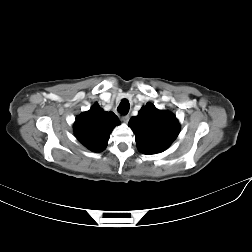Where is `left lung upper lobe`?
Returning a JSON list of instances; mask_svg holds the SVG:
<instances>
[{
	"label": "left lung upper lobe",
	"mask_w": 252,
	"mask_h": 252,
	"mask_svg": "<svg viewBox=\"0 0 252 252\" xmlns=\"http://www.w3.org/2000/svg\"><path fill=\"white\" fill-rule=\"evenodd\" d=\"M128 125L136 135L138 150L148 155L167 149L180 131L175 115L158 110L152 103L143 106L137 116L131 117Z\"/></svg>",
	"instance_id": "5c2ea615"
}]
</instances>
